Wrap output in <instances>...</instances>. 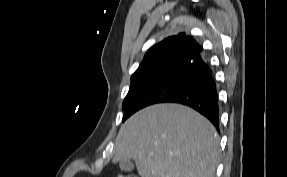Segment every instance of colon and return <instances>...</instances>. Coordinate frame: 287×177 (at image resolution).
Segmentation results:
<instances>
[{
  "label": "colon",
  "mask_w": 287,
  "mask_h": 177,
  "mask_svg": "<svg viewBox=\"0 0 287 177\" xmlns=\"http://www.w3.org/2000/svg\"><path fill=\"white\" fill-rule=\"evenodd\" d=\"M116 177H136V176H133V175H125V174H118V175H116Z\"/></svg>",
  "instance_id": "1"
}]
</instances>
